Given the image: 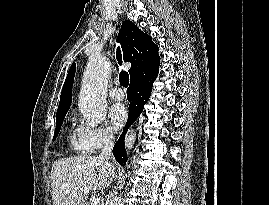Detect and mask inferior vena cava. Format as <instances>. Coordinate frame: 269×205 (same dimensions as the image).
Masks as SVG:
<instances>
[{
    "label": "inferior vena cava",
    "mask_w": 269,
    "mask_h": 205,
    "mask_svg": "<svg viewBox=\"0 0 269 205\" xmlns=\"http://www.w3.org/2000/svg\"><path fill=\"white\" fill-rule=\"evenodd\" d=\"M104 147L99 155L100 159L108 160L112 155V149L114 145V136L111 134H105L103 138Z\"/></svg>",
    "instance_id": "inferior-vena-cava-1"
}]
</instances>
